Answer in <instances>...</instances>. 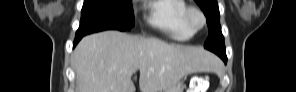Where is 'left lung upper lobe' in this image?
<instances>
[{"instance_id": "left-lung-upper-lobe-1", "label": "left lung upper lobe", "mask_w": 296, "mask_h": 92, "mask_svg": "<svg viewBox=\"0 0 296 92\" xmlns=\"http://www.w3.org/2000/svg\"><path fill=\"white\" fill-rule=\"evenodd\" d=\"M195 1L207 17V24L209 27V35L204 47L216 54L225 53L224 37L221 32L220 13L217 0Z\"/></svg>"}]
</instances>
